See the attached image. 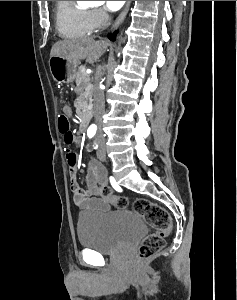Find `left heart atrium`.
<instances>
[{"instance_id": "obj_1", "label": "left heart atrium", "mask_w": 237, "mask_h": 300, "mask_svg": "<svg viewBox=\"0 0 237 300\" xmlns=\"http://www.w3.org/2000/svg\"><path fill=\"white\" fill-rule=\"evenodd\" d=\"M125 1H105V8L110 12H116L122 8Z\"/></svg>"}]
</instances>
